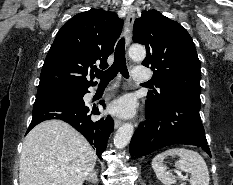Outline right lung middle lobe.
I'll use <instances>...</instances> for the list:
<instances>
[{
  "label": "right lung middle lobe",
  "instance_id": "obj_1",
  "mask_svg": "<svg viewBox=\"0 0 233 185\" xmlns=\"http://www.w3.org/2000/svg\"><path fill=\"white\" fill-rule=\"evenodd\" d=\"M46 93L81 96L82 90L81 89H51V90L37 91V95L46 94Z\"/></svg>",
  "mask_w": 233,
  "mask_h": 185
}]
</instances>
